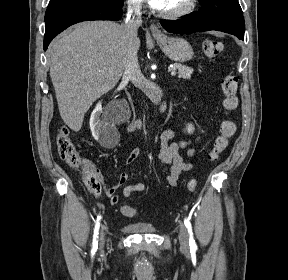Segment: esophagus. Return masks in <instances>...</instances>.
<instances>
[{
  "label": "esophagus",
  "instance_id": "esophagus-1",
  "mask_svg": "<svg viewBox=\"0 0 288 280\" xmlns=\"http://www.w3.org/2000/svg\"><path fill=\"white\" fill-rule=\"evenodd\" d=\"M150 30L154 37H161L163 35L161 30L155 24L150 25Z\"/></svg>",
  "mask_w": 288,
  "mask_h": 280
}]
</instances>
